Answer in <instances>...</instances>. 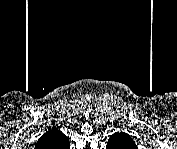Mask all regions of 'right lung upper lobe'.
Instances as JSON below:
<instances>
[{
	"mask_svg": "<svg viewBox=\"0 0 177 149\" xmlns=\"http://www.w3.org/2000/svg\"><path fill=\"white\" fill-rule=\"evenodd\" d=\"M49 135H53V137L55 135L56 137L54 138V140L47 143L48 146H43L41 148H45V149H65V148H63V145L65 143H68V139L64 134H62L60 131H58L56 129H51V130L47 131L43 136H49Z\"/></svg>",
	"mask_w": 177,
	"mask_h": 149,
	"instance_id": "right-lung-upper-lobe-1",
	"label": "right lung upper lobe"
}]
</instances>
